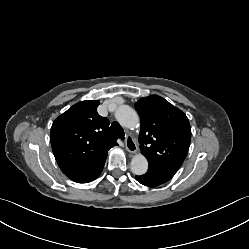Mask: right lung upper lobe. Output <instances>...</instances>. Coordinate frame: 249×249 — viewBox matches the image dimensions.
<instances>
[{"label": "right lung upper lobe", "instance_id": "cb5924a9", "mask_svg": "<svg viewBox=\"0 0 249 249\" xmlns=\"http://www.w3.org/2000/svg\"><path fill=\"white\" fill-rule=\"evenodd\" d=\"M99 101H81L52 124L50 141L62 172L78 183L93 181L102 170L107 151L117 145L108 132L109 120L97 113Z\"/></svg>", "mask_w": 249, "mask_h": 249}]
</instances>
